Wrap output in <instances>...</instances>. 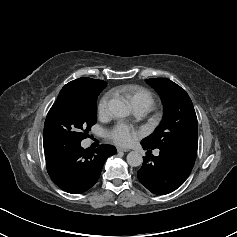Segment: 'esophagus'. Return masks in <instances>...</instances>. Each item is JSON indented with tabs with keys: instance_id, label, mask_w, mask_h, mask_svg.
Listing matches in <instances>:
<instances>
[{
	"instance_id": "obj_1",
	"label": "esophagus",
	"mask_w": 237,
	"mask_h": 237,
	"mask_svg": "<svg viewBox=\"0 0 237 237\" xmlns=\"http://www.w3.org/2000/svg\"><path fill=\"white\" fill-rule=\"evenodd\" d=\"M117 151H118V152H128V151H130V150H129V149H126V148L118 147V148H117Z\"/></svg>"
}]
</instances>
